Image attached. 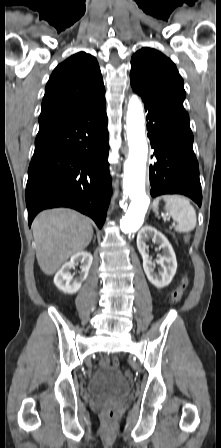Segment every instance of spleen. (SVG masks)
<instances>
[{
  "label": "spleen",
  "instance_id": "3e777b00",
  "mask_svg": "<svg viewBox=\"0 0 221 448\" xmlns=\"http://www.w3.org/2000/svg\"><path fill=\"white\" fill-rule=\"evenodd\" d=\"M163 199L166 203L165 209L170 214L176 226L174 230L178 233L192 231L197 224L196 211L189 200L180 195H163L153 201L154 211L158 210L159 201Z\"/></svg>",
  "mask_w": 221,
  "mask_h": 448
}]
</instances>
